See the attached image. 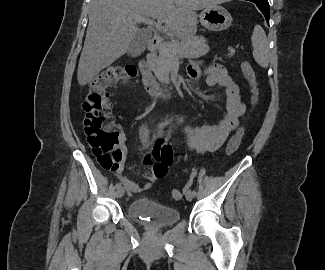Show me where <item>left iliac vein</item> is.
Instances as JSON below:
<instances>
[{
	"label": "left iliac vein",
	"instance_id": "4c4485c4",
	"mask_svg": "<svg viewBox=\"0 0 325 270\" xmlns=\"http://www.w3.org/2000/svg\"><path fill=\"white\" fill-rule=\"evenodd\" d=\"M185 196H186V199H187L188 201H191V200L193 199V197H194V195H193V193H192L191 190H187V191L185 192Z\"/></svg>",
	"mask_w": 325,
	"mask_h": 270
}]
</instances>
